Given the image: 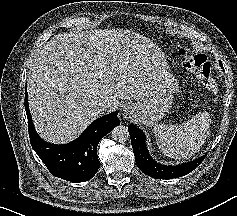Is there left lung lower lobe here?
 <instances>
[{
  "instance_id": "1",
  "label": "left lung lower lobe",
  "mask_w": 237,
  "mask_h": 216,
  "mask_svg": "<svg viewBox=\"0 0 237 216\" xmlns=\"http://www.w3.org/2000/svg\"><path fill=\"white\" fill-rule=\"evenodd\" d=\"M131 144L138 168L146 175L156 179H172L187 175L194 170L206 155L177 166H165L156 163L150 156L145 144V136L134 124L128 126Z\"/></svg>"
}]
</instances>
